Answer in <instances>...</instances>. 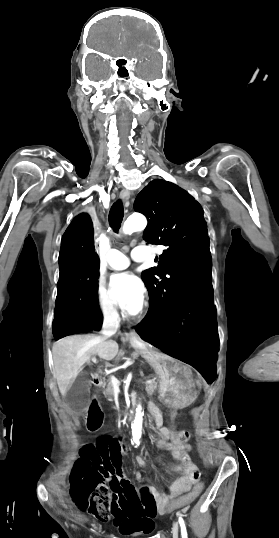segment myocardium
I'll list each match as a JSON object with an SVG mask.
<instances>
[{"label": "myocardium", "instance_id": "1", "mask_svg": "<svg viewBox=\"0 0 279 538\" xmlns=\"http://www.w3.org/2000/svg\"><path fill=\"white\" fill-rule=\"evenodd\" d=\"M143 314V308H139L137 311L129 313L128 316L130 317H140Z\"/></svg>", "mask_w": 279, "mask_h": 538}]
</instances>
